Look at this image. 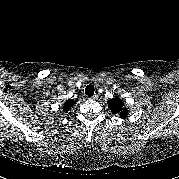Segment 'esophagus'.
Listing matches in <instances>:
<instances>
[{
	"instance_id": "obj_1",
	"label": "esophagus",
	"mask_w": 179,
	"mask_h": 179,
	"mask_svg": "<svg viewBox=\"0 0 179 179\" xmlns=\"http://www.w3.org/2000/svg\"><path fill=\"white\" fill-rule=\"evenodd\" d=\"M97 98H98L97 94H94L92 97H90V99H92V100H96Z\"/></svg>"
}]
</instances>
